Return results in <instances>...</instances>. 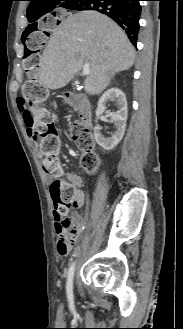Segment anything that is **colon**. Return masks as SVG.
I'll return each instance as SVG.
<instances>
[{
  "label": "colon",
  "mask_w": 183,
  "mask_h": 329,
  "mask_svg": "<svg viewBox=\"0 0 183 329\" xmlns=\"http://www.w3.org/2000/svg\"><path fill=\"white\" fill-rule=\"evenodd\" d=\"M70 14H42V19H34V25H26V31H20L23 43V69L27 80L23 84L24 96H18L19 114H30L29 126L33 137L39 141L43 155L42 166L47 175L54 178L50 190L54 205V216L60 221L66 241L73 244L77 230L72 221L66 217L68 211L77 206L76 183L65 178L59 162L60 141L55 126L53 114L38 105L43 94L41 84L37 80L40 68V49L50 38L52 32H57V26L62 21H70ZM77 145L83 150L80 160L86 172H94L97 167V157L92 151L91 134L80 123L73 128Z\"/></svg>",
  "instance_id": "5ec220e1"
}]
</instances>
